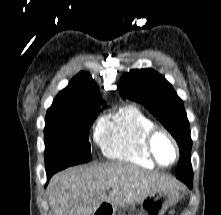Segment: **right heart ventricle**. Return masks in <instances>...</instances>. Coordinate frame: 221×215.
Instances as JSON below:
<instances>
[{"instance_id": "obj_1", "label": "right heart ventricle", "mask_w": 221, "mask_h": 215, "mask_svg": "<svg viewBox=\"0 0 221 215\" xmlns=\"http://www.w3.org/2000/svg\"><path fill=\"white\" fill-rule=\"evenodd\" d=\"M153 127L145 111L127 104L99 123L94 138L107 158L152 168L155 164L146 151L145 137Z\"/></svg>"}]
</instances>
